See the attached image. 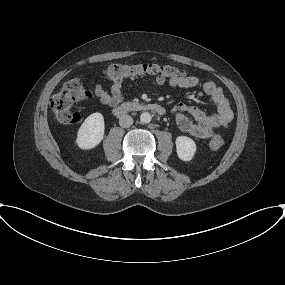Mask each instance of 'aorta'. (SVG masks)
Listing matches in <instances>:
<instances>
[{
	"label": "aorta",
	"instance_id": "762f6f07",
	"mask_svg": "<svg viewBox=\"0 0 285 285\" xmlns=\"http://www.w3.org/2000/svg\"><path fill=\"white\" fill-rule=\"evenodd\" d=\"M152 119V116L148 112H144L140 115V121L144 124L149 123Z\"/></svg>",
	"mask_w": 285,
	"mask_h": 285
}]
</instances>
